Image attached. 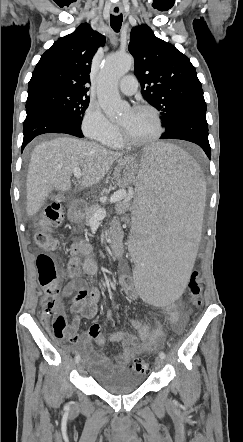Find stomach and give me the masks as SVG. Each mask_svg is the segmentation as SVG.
Wrapping results in <instances>:
<instances>
[{
	"label": "stomach",
	"instance_id": "0dacf381",
	"mask_svg": "<svg viewBox=\"0 0 243 442\" xmlns=\"http://www.w3.org/2000/svg\"><path fill=\"white\" fill-rule=\"evenodd\" d=\"M137 165L138 162L133 157H125L118 162L113 173V178L119 187L125 188L135 181V177L138 175L136 172ZM68 217L74 222L83 219L81 213L75 208L69 210Z\"/></svg>",
	"mask_w": 243,
	"mask_h": 442
}]
</instances>
